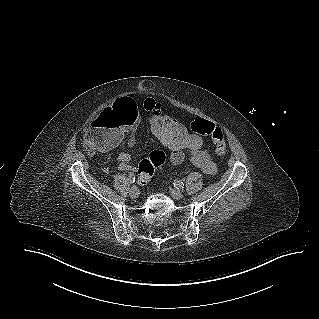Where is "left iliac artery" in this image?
Returning <instances> with one entry per match:
<instances>
[{"label": "left iliac artery", "mask_w": 319, "mask_h": 319, "mask_svg": "<svg viewBox=\"0 0 319 319\" xmlns=\"http://www.w3.org/2000/svg\"><path fill=\"white\" fill-rule=\"evenodd\" d=\"M174 187H176L177 189H183L184 188V183L182 181H174Z\"/></svg>", "instance_id": "1"}]
</instances>
